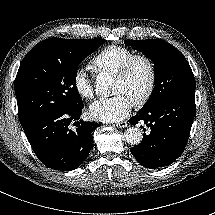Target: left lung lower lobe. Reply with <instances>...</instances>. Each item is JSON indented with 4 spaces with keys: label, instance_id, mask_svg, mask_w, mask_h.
<instances>
[{
    "label": "left lung lower lobe",
    "instance_id": "1",
    "mask_svg": "<svg viewBox=\"0 0 215 215\" xmlns=\"http://www.w3.org/2000/svg\"><path fill=\"white\" fill-rule=\"evenodd\" d=\"M195 111V90H191L168 97L130 118L131 124L142 120L151 128L150 134H143L141 143L130 149L136 160L150 169L174 162L186 147Z\"/></svg>",
    "mask_w": 215,
    "mask_h": 215
}]
</instances>
